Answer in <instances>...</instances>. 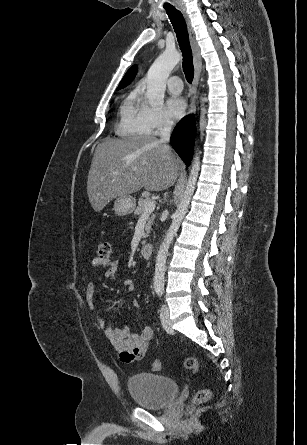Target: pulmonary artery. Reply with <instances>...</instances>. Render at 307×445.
Returning <instances> with one entry per match:
<instances>
[{
    "label": "pulmonary artery",
    "instance_id": "obj_1",
    "mask_svg": "<svg viewBox=\"0 0 307 445\" xmlns=\"http://www.w3.org/2000/svg\"><path fill=\"white\" fill-rule=\"evenodd\" d=\"M177 79H182V77H181V75L178 72L174 71L171 74L170 79H169L168 84H167L168 85V89L172 93H175V94L180 93L183 90V88H184L183 81H174V80H177Z\"/></svg>",
    "mask_w": 307,
    "mask_h": 445
}]
</instances>
